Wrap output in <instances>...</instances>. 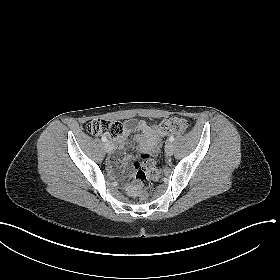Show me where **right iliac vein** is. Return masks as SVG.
I'll use <instances>...</instances> for the list:
<instances>
[{
    "mask_svg": "<svg viewBox=\"0 0 280 280\" xmlns=\"http://www.w3.org/2000/svg\"><path fill=\"white\" fill-rule=\"evenodd\" d=\"M105 150L107 153H111L113 151V144L110 141L105 143Z\"/></svg>",
    "mask_w": 280,
    "mask_h": 280,
    "instance_id": "1",
    "label": "right iliac vein"
}]
</instances>
